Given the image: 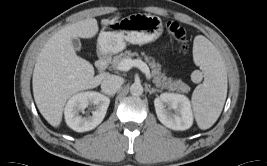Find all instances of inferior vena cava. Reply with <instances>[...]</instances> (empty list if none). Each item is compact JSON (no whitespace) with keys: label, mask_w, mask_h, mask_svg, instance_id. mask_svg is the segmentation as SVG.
Listing matches in <instances>:
<instances>
[{"label":"inferior vena cava","mask_w":267,"mask_h":166,"mask_svg":"<svg viewBox=\"0 0 267 166\" xmlns=\"http://www.w3.org/2000/svg\"><path fill=\"white\" fill-rule=\"evenodd\" d=\"M124 80L120 76L107 75L101 83L102 92L107 95H114L122 86Z\"/></svg>","instance_id":"obj_1"}]
</instances>
